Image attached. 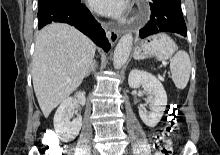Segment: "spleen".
I'll use <instances>...</instances> for the list:
<instances>
[{"instance_id":"1","label":"spleen","mask_w":220,"mask_h":155,"mask_svg":"<svg viewBox=\"0 0 220 155\" xmlns=\"http://www.w3.org/2000/svg\"><path fill=\"white\" fill-rule=\"evenodd\" d=\"M171 78L177 89L186 88L191 72V62L187 52L181 50L177 52L170 63Z\"/></svg>"}]
</instances>
